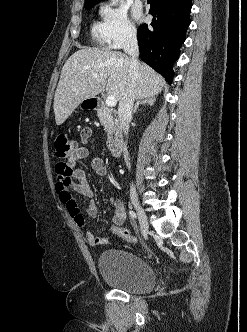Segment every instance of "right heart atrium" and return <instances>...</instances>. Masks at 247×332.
Segmentation results:
<instances>
[{
	"mask_svg": "<svg viewBox=\"0 0 247 332\" xmlns=\"http://www.w3.org/2000/svg\"><path fill=\"white\" fill-rule=\"evenodd\" d=\"M108 45L121 48L136 37V28L128 17L126 8L116 0L104 3L100 10Z\"/></svg>",
	"mask_w": 247,
	"mask_h": 332,
	"instance_id": "1",
	"label": "right heart atrium"
}]
</instances>
